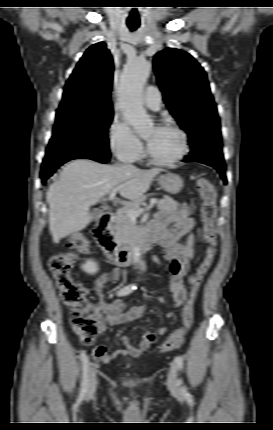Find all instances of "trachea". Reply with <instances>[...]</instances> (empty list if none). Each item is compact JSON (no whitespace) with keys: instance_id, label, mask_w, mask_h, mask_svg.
I'll return each instance as SVG.
<instances>
[{"instance_id":"trachea-1","label":"trachea","mask_w":273,"mask_h":430,"mask_svg":"<svg viewBox=\"0 0 273 430\" xmlns=\"http://www.w3.org/2000/svg\"><path fill=\"white\" fill-rule=\"evenodd\" d=\"M128 27L131 31H134L139 27V24L128 23Z\"/></svg>"}]
</instances>
